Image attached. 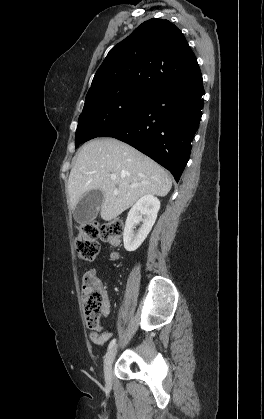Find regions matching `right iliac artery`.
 <instances>
[{
  "label": "right iliac artery",
  "instance_id": "1",
  "mask_svg": "<svg viewBox=\"0 0 264 419\" xmlns=\"http://www.w3.org/2000/svg\"><path fill=\"white\" fill-rule=\"evenodd\" d=\"M115 343H116V339H113V340L109 343L108 350L112 349V348L115 346Z\"/></svg>",
  "mask_w": 264,
  "mask_h": 419
}]
</instances>
